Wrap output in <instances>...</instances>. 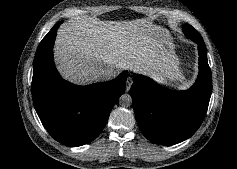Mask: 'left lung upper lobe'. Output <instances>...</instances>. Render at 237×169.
I'll return each instance as SVG.
<instances>
[{
	"mask_svg": "<svg viewBox=\"0 0 237 169\" xmlns=\"http://www.w3.org/2000/svg\"><path fill=\"white\" fill-rule=\"evenodd\" d=\"M183 28H184V32H187L191 34L192 36L202 38L201 35L191 25L185 24Z\"/></svg>",
	"mask_w": 237,
	"mask_h": 169,
	"instance_id": "1",
	"label": "left lung upper lobe"
}]
</instances>
